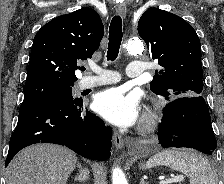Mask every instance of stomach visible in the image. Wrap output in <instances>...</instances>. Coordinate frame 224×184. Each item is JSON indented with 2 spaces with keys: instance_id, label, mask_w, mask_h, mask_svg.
Wrapping results in <instances>:
<instances>
[{
  "instance_id": "1",
  "label": "stomach",
  "mask_w": 224,
  "mask_h": 184,
  "mask_svg": "<svg viewBox=\"0 0 224 184\" xmlns=\"http://www.w3.org/2000/svg\"><path fill=\"white\" fill-rule=\"evenodd\" d=\"M140 168H141V169H146L145 164H142V163H141V164H140Z\"/></svg>"
}]
</instances>
